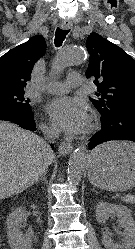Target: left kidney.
Wrapping results in <instances>:
<instances>
[{"instance_id": "5707ae66", "label": "left kidney", "mask_w": 135, "mask_h": 249, "mask_svg": "<svg viewBox=\"0 0 135 249\" xmlns=\"http://www.w3.org/2000/svg\"><path fill=\"white\" fill-rule=\"evenodd\" d=\"M95 215L96 220L100 223L105 222L110 215H114L118 218L119 224L124 228L125 237L122 240V244H115L108 236V233L103 232L102 244L105 249L135 248V221L126 206L99 202L96 206Z\"/></svg>"}]
</instances>
